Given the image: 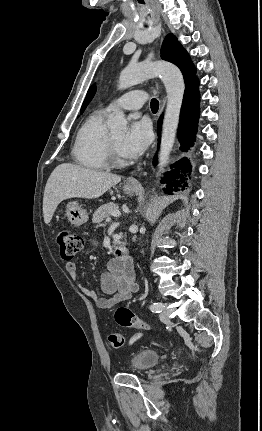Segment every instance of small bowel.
<instances>
[{
  "label": "small bowel",
  "instance_id": "small-bowel-1",
  "mask_svg": "<svg viewBox=\"0 0 262 431\" xmlns=\"http://www.w3.org/2000/svg\"><path fill=\"white\" fill-rule=\"evenodd\" d=\"M65 268L82 294L94 300L99 309H110L130 299L138 290L133 263L130 259L124 260L121 257H116L108 262L100 277L101 293L90 289L79 280L75 263H66ZM139 336L141 334H136L132 340Z\"/></svg>",
  "mask_w": 262,
  "mask_h": 431
}]
</instances>
